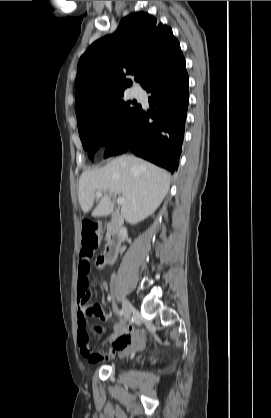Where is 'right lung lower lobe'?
Instances as JSON below:
<instances>
[{"mask_svg": "<svg viewBox=\"0 0 271 418\" xmlns=\"http://www.w3.org/2000/svg\"><path fill=\"white\" fill-rule=\"evenodd\" d=\"M189 78L185 60L154 81L147 89L154 113L140 107L131 119L115 131L106 144L105 157L132 151L174 173L184 139L189 102Z\"/></svg>", "mask_w": 271, "mask_h": 418, "instance_id": "1", "label": "right lung lower lobe"}]
</instances>
